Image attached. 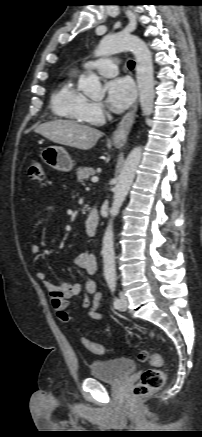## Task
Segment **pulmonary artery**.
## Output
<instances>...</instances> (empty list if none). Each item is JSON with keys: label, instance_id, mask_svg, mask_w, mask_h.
Listing matches in <instances>:
<instances>
[{"label": "pulmonary artery", "instance_id": "pulmonary-artery-1", "mask_svg": "<svg viewBox=\"0 0 202 437\" xmlns=\"http://www.w3.org/2000/svg\"><path fill=\"white\" fill-rule=\"evenodd\" d=\"M84 69L87 71H97L100 75L105 77H113L118 73V62L111 58H102L86 62Z\"/></svg>", "mask_w": 202, "mask_h": 437}]
</instances>
